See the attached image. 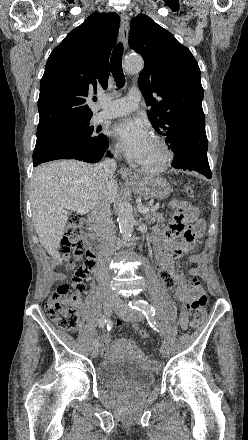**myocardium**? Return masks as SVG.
Wrapping results in <instances>:
<instances>
[{
    "instance_id": "obj_1",
    "label": "myocardium",
    "mask_w": 248,
    "mask_h": 440,
    "mask_svg": "<svg viewBox=\"0 0 248 440\" xmlns=\"http://www.w3.org/2000/svg\"><path fill=\"white\" fill-rule=\"evenodd\" d=\"M153 143L156 145V147L159 150L160 156L158 160L152 164H146V163H138V167L140 170L148 173H157L161 172L168 166L171 157H172V151L169 147V145L166 143L165 140H163L160 137H154Z\"/></svg>"
}]
</instances>
